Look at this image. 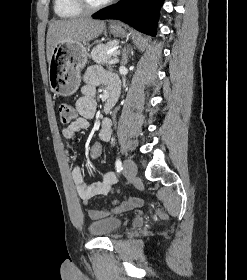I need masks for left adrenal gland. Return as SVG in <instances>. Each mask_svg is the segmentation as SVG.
I'll return each mask as SVG.
<instances>
[{"mask_svg": "<svg viewBox=\"0 0 247 280\" xmlns=\"http://www.w3.org/2000/svg\"><path fill=\"white\" fill-rule=\"evenodd\" d=\"M127 62H128V57H127V54L126 53H124L123 54V57H122V64H127Z\"/></svg>", "mask_w": 247, "mask_h": 280, "instance_id": "obj_1", "label": "left adrenal gland"}]
</instances>
